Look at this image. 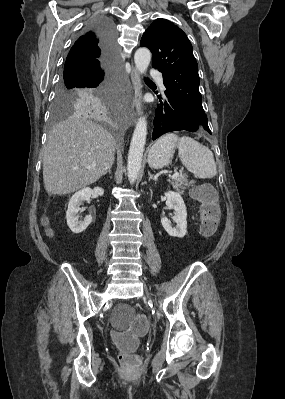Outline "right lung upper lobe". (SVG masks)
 I'll return each instance as SVG.
<instances>
[{"mask_svg": "<svg viewBox=\"0 0 285 399\" xmlns=\"http://www.w3.org/2000/svg\"><path fill=\"white\" fill-rule=\"evenodd\" d=\"M103 51L98 34L88 30L72 46L67 56L64 69L79 63H98L102 59Z\"/></svg>", "mask_w": 285, "mask_h": 399, "instance_id": "cb5924a9", "label": "right lung upper lobe"}]
</instances>
